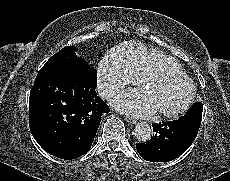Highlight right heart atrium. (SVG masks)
I'll return each instance as SVG.
<instances>
[{"label":"right heart atrium","mask_w":230,"mask_h":181,"mask_svg":"<svg viewBox=\"0 0 230 181\" xmlns=\"http://www.w3.org/2000/svg\"><path fill=\"white\" fill-rule=\"evenodd\" d=\"M136 82L135 76L123 67L113 65L107 56L97 68V85L105 96L121 92L126 86Z\"/></svg>","instance_id":"right-heart-atrium-1"}]
</instances>
